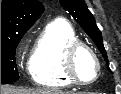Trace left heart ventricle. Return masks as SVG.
I'll return each mask as SVG.
<instances>
[{"label":"left heart ventricle","mask_w":121,"mask_h":94,"mask_svg":"<svg viewBox=\"0 0 121 94\" xmlns=\"http://www.w3.org/2000/svg\"><path fill=\"white\" fill-rule=\"evenodd\" d=\"M75 69L77 75L84 81L92 80L96 77V62L91 54L84 49L80 50L76 56Z\"/></svg>","instance_id":"left-heart-ventricle-1"}]
</instances>
